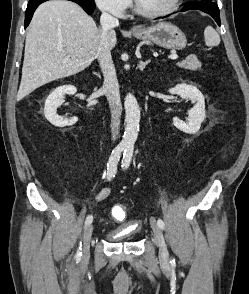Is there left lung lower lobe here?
I'll use <instances>...</instances> for the list:
<instances>
[{
	"label": "left lung lower lobe",
	"mask_w": 249,
	"mask_h": 294,
	"mask_svg": "<svg viewBox=\"0 0 249 294\" xmlns=\"http://www.w3.org/2000/svg\"><path fill=\"white\" fill-rule=\"evenodd\" d=\"M201 10L205 13L211 15L217 24L220 26V15H219V8L217 4L212 1H195L188 3L181 11L187 10Z\"/></svg>",
	"instance_id": "0a47b994"
}]
</instances>
